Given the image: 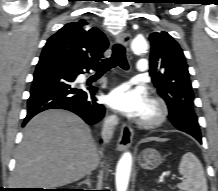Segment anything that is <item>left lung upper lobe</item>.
<instances>
[{
  "instance_id": "5c2ea615",
  "label": "left lung upper lobe",
  "mask_w": 218,
  "mask_h": 191,
  "mask_svg": "<svg viewBox=\"0 0 218 191\" xmlns=\"http://www.w3.org/2000/svg\"><path fill=\"white\" fill-rule=\"evenodd\" d=\"M151 41L150 75L158 94L166 101L172 123L181 120L185 108L192 114L182 123L187 132H200L193 111V91L188 66L179 44L167 32H154Z\"/></svg>"
}]
</instances>
